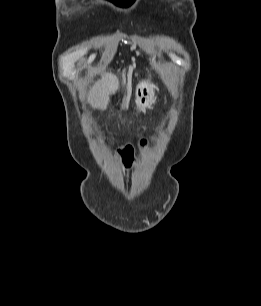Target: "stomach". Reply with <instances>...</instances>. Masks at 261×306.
I'll return each mask as SVG.
<instances>
[{"mask_svg": "<svg viewBox=\"0 0 261 306\" xmlns=\"http://www.w3.org/2000/svg\"><path fill=\"white\" fill-rule=\"evenodd\" d=\"M140 96H137V105L140 109L145 108L151 104L153 101V94H152V86L148 84V86L144 85L140 87Z\"/></svg>", "mask_w": 261, "mask_h": 306, "instance_id": "obj_1", "label": "stomach"}]
</instances>
